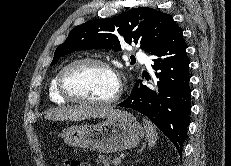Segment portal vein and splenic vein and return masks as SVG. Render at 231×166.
I'll list each match as a JSON object with an SVG mask.
<instances>
[{"mask_svg": "<svg viewBox=\"0 0 231 166\" xmlns=\"http://www.w3.org/2000/svg\"><path fill=\"white\" fill-rule=\"evenodd\" d=\"M122 158H123V156H120V157L116 158V161H121Z\"/></svg>", "mask_w": 231, "mask_h": 166, "instance_id": "1", "label": "portal vein and splenic vein"}]
</instances>
